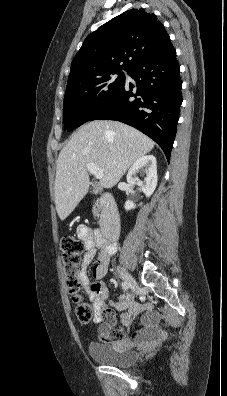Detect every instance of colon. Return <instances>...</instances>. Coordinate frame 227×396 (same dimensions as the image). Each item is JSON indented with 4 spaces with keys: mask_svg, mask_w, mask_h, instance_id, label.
I'll list each match as a JSON object with an SVG mask.
<instances>
[{
    "mask_svg": "<svg viewBox=\"0 0 227 396\" xmlns=\"http://www.w3.org/2000/svg\"><path fill=\"white\" fill-rule=\"evenodd\" d=\"M84 251V243L72 236H66L61 241V262L66 278L68 292L76 303L75 313L82 323H89L94 315V307L83 300L81 290L82 282L78 278V266L81 254Z\"/></svg>",
    "mask_w": 227,
    "mask_h": 396,
    "instance_id": "obj_1",
    "label": "colon"
}]
</instances>
